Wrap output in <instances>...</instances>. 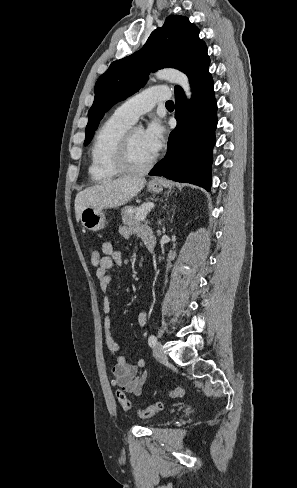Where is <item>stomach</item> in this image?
<instances>
[{
    "label": "stomach",
    "instance_id": "stomach-1",
    "mask_svg": "<svg viewBox=\"0 0 297 488\" xmlns=\"http://www.w3.org/2000/svg\"><path fill=\"white\" fill-rule=\"evenodd\" d=\"M147 189L151 193H160L163 190V187L161 183L150 182ZM80 220L86 229L97 232L104 228L105 213L102 209L87 207L82 210Z\"/></svg>",
    "mask_w": 297,
    "mask_h": 488
}]
</instances>
